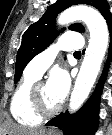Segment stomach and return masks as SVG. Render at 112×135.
I'll return each instance as SVG.
<instances>
[{
    "label": "stomach",
    "instance_id": "stomach-1",
    "mask_svg": "<svg viewBox=\"0 0 112 135\" xmlns=\"http://www.w3.org/2000/svg\"><path fill=\"white\" fill-rule=\"evenodd\" d=\"M47 135H57V134L54 132H49Z\"/></svg>",
    "mask_w": 112,
    "mask_h": 135
}]
</instances>
